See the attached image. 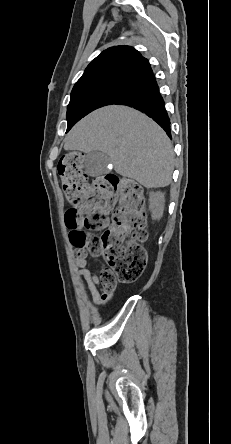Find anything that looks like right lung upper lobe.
Instances as JSON below:
<instances>
[{
	"label": "right lung upper lobe",
	"instance_id": "obj_1",
	"mask_svg": "<svg viewBox=\"0 0 231 444\" xmlns=\"http://www.w3.org/2000/svg\"><path fill=\"white\" fill-rule=\"evenodd\" d=\"M154 79L148 60L136 49L114 46L103 51L88 65L73 90L117 84L130 91Z\"/></svg>",
	"mask_w": 231,
	"mask_h": 444
}]
</instances>
